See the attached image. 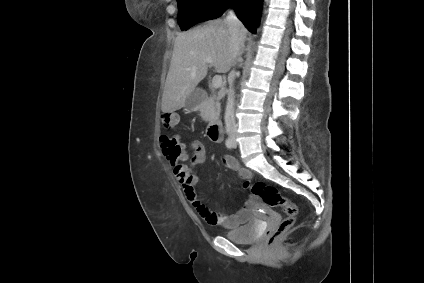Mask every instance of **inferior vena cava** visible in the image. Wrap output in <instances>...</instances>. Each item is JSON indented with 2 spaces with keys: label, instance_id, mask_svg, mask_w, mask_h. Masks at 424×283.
<instances>
[{
  "label": "inferior vena cava",
  "instance_id": "1",
  "mask_svg": "<svg viewBox=\"0 0 424 283\" xmlns=\"http://www.w3.org/2000/svg\"><path fill=\"white\" fill-rule=\"evenodd\" d=\"M230 34H231V46H232V56H233V66L236 65V62L241 55V49L244 46L245 41V28L242 22L237 18L235 12L231 10L226 19H225ZM235 78V70H232L228 76L229 83V91L228 98L225 108V129L227 134H231L232 132L237 130V125L234 117V100H235V92L233 89V82Z\"/></svg>",
  "mask_w": 424,
  "mask_h": 283
}]
</instances>
